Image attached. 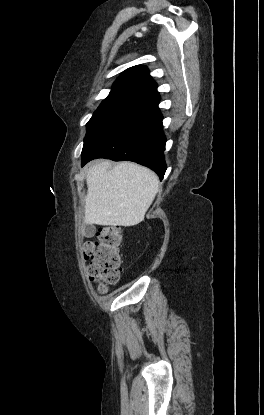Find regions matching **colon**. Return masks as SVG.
Segmentation results:
<instances>
[{
	"instance_id": "colon-1",
	"label": "colon",
	"mask_w": 264,
	"mask_h": 415,
	"mask_svg": "<svg viewBox=\"0 0 264 415\" xmlns=\"http://www.w3.org/2000/svg\"><path fill=\"white\" fill-rule=\"evenodd\" d=\"M122 231L113 226L95 231V239L83 247L89 279L97 283V291L105 294L108 286L115 284L124 264L121 256Z\"/></svg>"
}]
</instances>
